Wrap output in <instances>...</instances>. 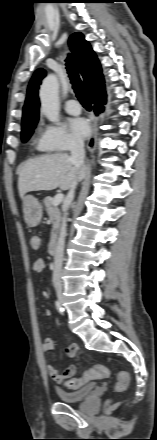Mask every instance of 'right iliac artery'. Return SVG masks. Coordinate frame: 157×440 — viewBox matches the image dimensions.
<instances>
[{
    "mask_svg": "<svg viewBox=\"0 0 157 440\" xmlns=\"http://www.w3.org/2000/svg\"><path fill=\"white\" fill-rule=\"evenodd\" d=\"M55 306H56V309L62 314L64 310L58 301H55Z\"/></svg>",
    "mask_w": 157,
    "mask_h": 440,
    "instance_id": "1",
    "label": "right iliac artery"
}]
</instances>
